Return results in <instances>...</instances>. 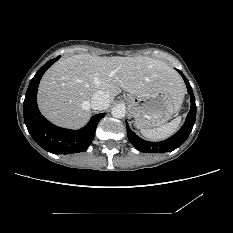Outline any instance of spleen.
I'll use <instances>...</instances> for the list:
<instances>
[{"label": "spleen", "instance_id": "1", "mask_svg": "<svg viewBox=\"0 0 233 233\" xmlns=\"http://www.w3.org/2000/svg\"><path fill=\"white\" fill-rule=\"evenodd\" d=\"M181 123V117L173 119L171 122L161 125L160 127L153 129H141V134L152 141H159L166 139L176 132Z\"/></svg>", "mask_w": 233, "mask_h": 233}]
</instances>
